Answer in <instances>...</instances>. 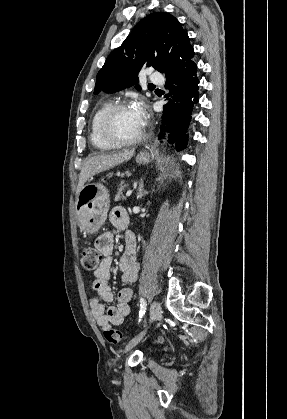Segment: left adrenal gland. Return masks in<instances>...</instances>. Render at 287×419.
Segmentation results:
<instances>
[{
	"label": "left adrenal gland",
	"mask_w": 287,
	"mask_h": 419,
	"mask_svg": "<svg viewBox=\"0 0 287 419\" xmlns=\"http://www.w3.org/2000/svg\"><path fill=\"white\" fill-rule=\"evenodd\" d=\"M145 193H146V191L144 190L143 181H142V182H140V184H139L137 198H138V199H141V198L144 196V194H145Z\"/></svg>",
	"instance_id": "obj_1"
}]
</instances>
